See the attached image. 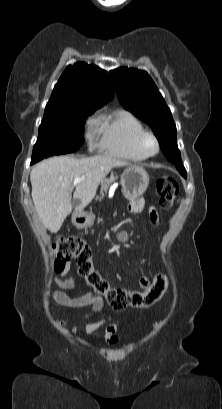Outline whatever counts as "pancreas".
Returning a JSON list of instances; mask_svg holds the SVG:
<instances>
[{"mask_svg": "<svg viewBox=\"0 0 222 409\" xmlns=\"http://www.w3.org/2000/svg\"><path fill=\"white\" fill-rule=\"evenodd\" d=\"M115 182V178L114 177H110L106 180H103L101 182V190H100V197L99 200H102L104 198V192H107L109 187L111 186L112 183Z\"/></svg>", "mask_w": 222, "mask_h": 409, "instance_id": "pancreas-1", "label": "pancreas"}]
</instances>
